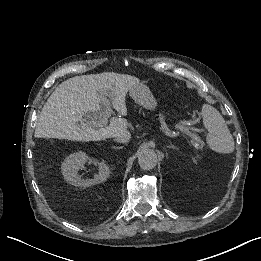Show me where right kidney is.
I'll return each instance as SVG.
<instances>
[{"mask_svg":"<svg viewBox=\"0 0 261 261\" xmlns=\"http://www.w3.org/2000/svg\"><path fill=\"white\" fill-rule=\"evenodd\" d=\"M88 160V157L85 153L79 152L71 154L65 159L61 165V171L64 176V179L70 184L77 187H90L106 181L109 176L110 170L107 165L104 163H97L99 166V172L94 176L93 179H81L77 172L80 167H82Z\"/></svg>","mask_w":261,"mask_h":261,"instance_id":"obj_1","label":"right kidney"}]
</instances>
